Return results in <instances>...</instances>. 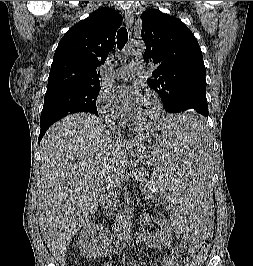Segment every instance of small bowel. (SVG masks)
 <instances>
[{
  "instance_id": "c3829d8e",
  "label": "small bowel",
  "mask_w": 253,
  "mask_h": 266,
  "mask_svg": "<svg viewBox=\"0 0 253 266\" xmlns=\"http://www.w3.org/2000/svg\"><path fill=\"white\" fill-rule=\"evenodd\" d=\"M162 266H181L177 256L173 253L170 256H165L163 258V265Z\"/></svg>"
}]
</instances>
